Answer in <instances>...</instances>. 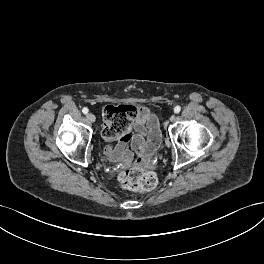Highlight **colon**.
<instances>
[{
	"label": "colon",
	"instance_id": "5ec220e1",
	"mask_svg": "<svg viewBox=\"0 0 264 264\" xmlns=\"http://www.w3.org/2000/svg\"><path fill=\"white\" fill-rule=\"evenodd\" d=\"M136 114L132 105H109L104 111L106 124L102 135L107 140H113L131 131ZM119 185L132 192H145L157 186L158 179L154 172L139 165H131L120 170L117 176Z\"/></svg>",
	"mask_w": 264,
	"mask_h": 264
}]
</instances>
